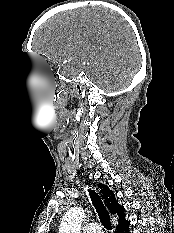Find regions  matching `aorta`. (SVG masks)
<instances>
[{
	"mask_svg": "<svg viewBox=\"0 0 174 233\" xmlns=\"http://www.w3.org/2000/svg\"><path fill=\"white\" fill-rule=\"evenodd\" d=\"M84 210L75 207L68 210L60 223L59 233H80Z\"/></svg>",
	"mask_w": 174,
	"mask_h": 233,
	"instance_id": "aorta-1",
	"label": "aorta"
}]
</instances>
